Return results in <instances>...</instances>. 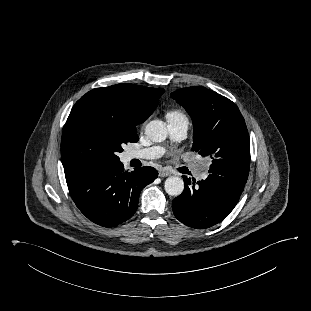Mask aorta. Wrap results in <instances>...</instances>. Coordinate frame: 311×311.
Returning <instances> with one entry per match:
<instances>
[{"label":"aorta","instance_id":"1","mask_svg":"<svg viewBox=\"0 0 311 311\" xmlns=\"http://www.w3.org/2000/svg\"><path fill=\"white\" fill-rule=\"evenodd\" d=\"M146 136L153 142H162L166 139L168 131L166 124L161 120H152L145 127ZM165 191L170 196H179L184 190L182 178L168 177L164 184Z\"/></svg>","mask_w":311,"mask_h":311}]
</instances>
